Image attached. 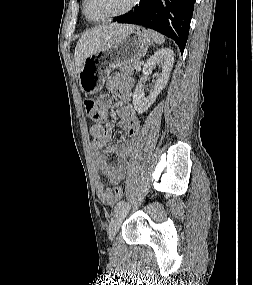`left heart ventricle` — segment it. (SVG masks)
I'll return each mask as SVG.
<instances>
[{
    "label": "left heart ventricle",
    "instance_id": "left-heart-ventricle-1",
    "mask_svg": "<svg viewBox=\"0 0 253 285\" xmlns=\"http://www.w3.org/2000/svg\"><path fill=\"white\" fill-rule=\"evenodd\" d=\"M131 0H87L86 11L93 19L102 18L125 9Z\"/></svg>",
    "mask_w": 253,
    "mask_h": 285
}]
</instances>
